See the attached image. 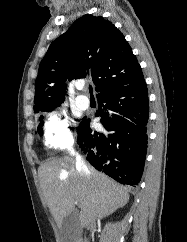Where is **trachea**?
Instances as JSON below:
<instances>
[{"label": "trachea", "instance_id": "obj_1", "mask_svg": "<svg viewBox=\"0 0 187 242\" xmlns=\"http://www.w3.org/2000/svg\"><path fill=\"white\" fill-rule=\"evenodd\" d=\"M89 92H90V94H91V97L93 98V97H94L93 94H92V92H93V88H92L91 85H89Z\"/></svg>", "mask_w": 187, "mask_h": 242}]
</instances>
